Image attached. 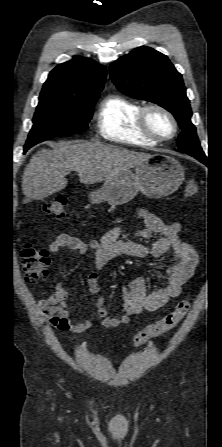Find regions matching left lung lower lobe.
<instances>
[{"mask_svg": "<svg viewBox=\"0 0 222 447\" xmlns=\"http://www.w3.org/2000/svg\"><path fill=\"white\" fill-rule=\"evenodd\" d=\"M192 156V155H191ZM195 157L197 160H199L200 162L206 164V157H201V156H193Z\"/></svg>", "mask_w": 222, "mask_h": 447, "instance_id": "left-lung-lower-lobe-1", "label": "left lung lower lobe"}]
</instances>
